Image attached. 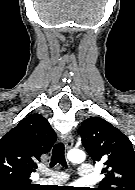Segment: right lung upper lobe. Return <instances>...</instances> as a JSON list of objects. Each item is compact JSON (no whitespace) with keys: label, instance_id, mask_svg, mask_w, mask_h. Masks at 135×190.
<instances>
[{"label":"right lung upper lobe","instance_id":"1","mask_svg":"<svg viewBox=\"0 0 135 190\" xmlns=\"http://www.w3.org/2000/svg\"><path fill=\"white\" fill-rule=\"evenodd\" d=\"M56 141L49 122L40 114L24 118L0 140V184H31L36 161ZM36 186V185H34Z\"/></svg>","mask_w":135,"mask_h":190}]
</instances>
